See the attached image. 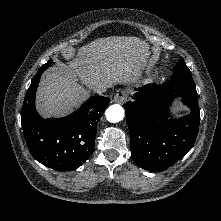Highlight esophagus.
<instances>
[{"instance_id":"34e87169","label":"esophagus","mask_w":221,"mask_h":221,"mask_svg":"<svg viewBox=\"0 0 221 221\" xmlns=\"http://www.w3.org/2000/svg\"><path fill=\"white\" fill-rule=\"evenodd\" d=\"M129 96V92L124 89H120L116 92L114 96V101L119 104H123Z\"/></svg>"}]
</instances>
